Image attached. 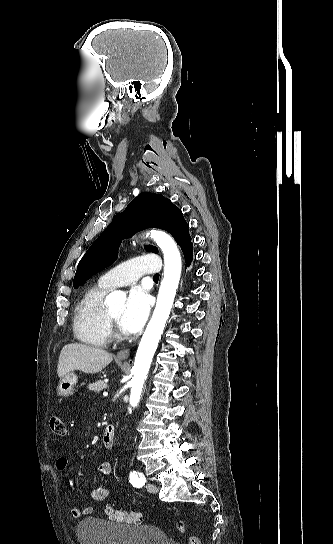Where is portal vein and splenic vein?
Returning a JSON list of instances; mask_svg holds the SVG:
<instances>
[{
	"label": "portal vein and splenic vein",
	"instance_id": "portal-vein-and-splenic-vein-1",
	"mask_svg": "<svg viewBox=\"0 0 333 544\" xmlns=\"http://www.w3.org/2000/svg\"><path fill=\"white\" fill-rule=\"evenodd\" d=\"M103 396H104V397H107V396H108V393H107V392H104V393H103Z\"/></svg>",
	"mask_w": 333,
	"mask_h": 544
}]
</instances>
